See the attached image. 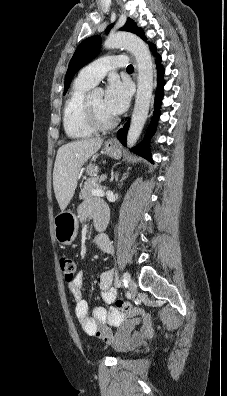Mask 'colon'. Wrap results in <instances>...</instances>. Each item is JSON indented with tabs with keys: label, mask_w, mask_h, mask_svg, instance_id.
Wrapping results in <instances>:
<instances>
[{
	"label": "colon",
	"mask_w": 227,
	"mask_h": 396,
	"mask_svg": "<svg viewBox=\"0 0 227 396\" xmlns=\"http://www.w3.org/2000/svg\"><path fill=\"white\" fill-rule=\"evenodd\" d=\"M60 267L64 275L65 281L71 282L75 278V274L77 271V262L73 258L63 257L60 260ZM124 304L125 303L122 300L118 299L115 302V307L122 308Z\"/></svg>",
	"instance_id": "obj_1"
}]
</instances>
